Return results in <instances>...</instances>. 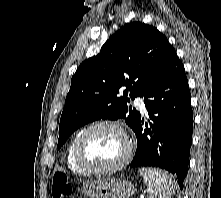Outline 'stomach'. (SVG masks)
Instances as JSON below:
<instances>
[{"mask_svg":"<svg viewBox=\"0 0 221 198\" xmlns=\"http://www.w3.org/2000/svg\"><path fill=\"white\" fill-rule=\"evenodd\" d=\"M82 192L87 198H130L136 189L128 180L106 178L83 183Z\"/></svg>","mask_w":221,"mask_h":198,"instance_id":"stomach-1","label":"stomach"}]
</instances>
